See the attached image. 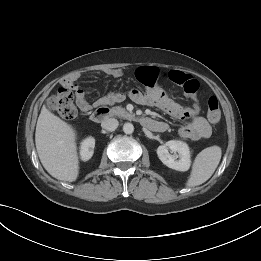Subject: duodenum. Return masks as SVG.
<instances>
[{
    "instance_id": "obj_1",
    "label": "duodenum",
    "mask_w": 261,
    "mask_h": 261,
    "mask_svg": "<svg viewBox=\"0 0 261 261\" xmlns=\"http://www.w3.org/2000/svg\"><path fill=\"white\" fill-rule=\"evenodd\" d=\"M112 111L109 107L102 105L98 107L92 114V119L95 122H101L104 121L106 118H108L111 115ZM139 122L146 128L153 130V131H164L166 129V126L158 122L156 120H153L149 117H139L137 118Z\"/></svg>"
}]
</instances>
